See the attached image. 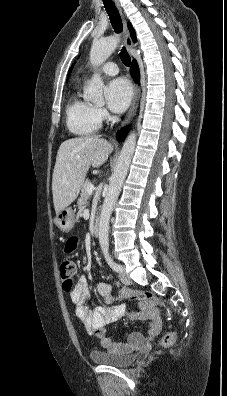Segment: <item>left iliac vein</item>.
<instances>
[{
    "instance_id": "4c4485c4",
    "label": "left iliac vein",
    "mask_w": 227,
    "mask_h": 396,
    "mask_svg": "<svg viewBox=\"0 0 227 396\" xmlns=\"http://www.w3.org/2000/svg\"><path fill=\"white\" fill-rule=\"evenodd\" d=\"M119 278L122 283L129 285L131 284V279L129 276L125 273L124 267L121 266V271L119 272Z\"/></svg>"
}]
</instances>
